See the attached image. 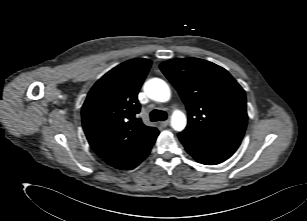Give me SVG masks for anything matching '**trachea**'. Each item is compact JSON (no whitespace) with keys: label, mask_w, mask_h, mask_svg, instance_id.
Returning a JSON list of instances; mask_svg holds the SVG:
<instances>
[{"label":"trachea","mask_w":307,"mask_h":221,"mask_svg":"<svg viewBox=\"0 0 307 221\" xmlns=\"http://www.w3.org/2000/svg\"><path fill=\"white\" fill-rule=\"evenodd\" d=\"M167 119V113L162 110H153L150 113V120L153 122L159 121V120H166Z\"/></svg>","instance_id":"1"}]
</instances>
